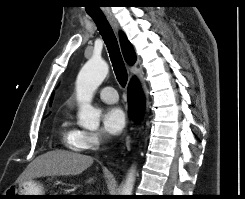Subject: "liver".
Instances as JSON below:
<instances>
[{
    "label": "liver",
    "instance_id": "obj_1",
    "mask_svg": "<svg viewBox=\"0 0 245 199\" xmlns=\"http://www.w3.org/2000/svg\"><path fill=\"white\" fill-rule=\"evenodd\" d=\"M93 163L91 156L66 150H53L38 156L29 166L22 180L44 176L79 175ZM89 178L87 183L93 182Z\"/></svg>",
    "mask_w": 245,
    "mask_h": 199
}]
</instances>
